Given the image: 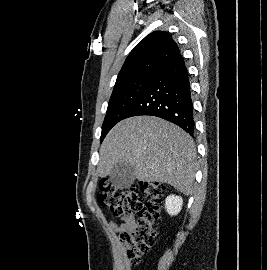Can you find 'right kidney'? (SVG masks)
Listing matches in <instances>:
<instances>
[{
  "label": "right kidney",
  "mask_w": 267,
  "mask_h": 270,
  "mask_svg": "<svg viewBox=\"0 0 267 270\" xmlns=\"http://www.w3.org/2000/svg\"><path fill=\"white\" fill-rule=\"evenodd\" d=\"M182 205H183V200L179 196L170 195L165 200L166 211L171 216L177 215L181 211Z\"/></svg>",
  "instance_id": "1"
}]
</instances>
